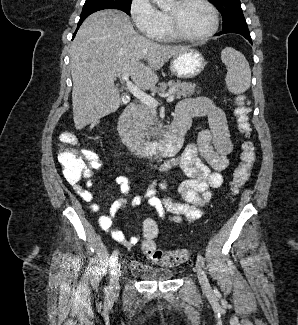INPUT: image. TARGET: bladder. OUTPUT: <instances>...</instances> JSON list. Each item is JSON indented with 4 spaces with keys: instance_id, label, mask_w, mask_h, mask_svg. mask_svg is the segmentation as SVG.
<instances>
[{
    "instance_id": "bladder-1",
    "label": "bladder",
    "mask_w": 298,
    "mask_h": 325,
    "mask_svg": "<svg viewBox=\"0 0 298 325\" xmlns=\"http://www.w3.org/2000/svg\"><path fill=\"white\" fill-rule=\"evenodd\" d=\"M129 273L135 278L148 282H163L173 278L174 272L170 268L157 267L142 259H132L128 266Z\"/></svg>"
}]
</instances>
